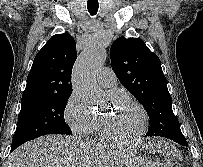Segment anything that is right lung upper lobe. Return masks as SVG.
I'll list each match as a JSON object with an SVG mask.
<instances>
[{
  "mask_svg": "<svg viewBox=\"0 0 203 167\" xmlns=\"http://www.w3.org/2000/svg\"><path fill=\"white\" fill-rule=\"evenodd\" d=\"M76 58V43L70 34L52 36L34 58L21 101L71 95V73Z\"/></svg>",
  "mask_w": 203,
  "mask_h": 167,
  "instance_id": "1",
  "label": "right lung upper lobe"
}]
</instances>
